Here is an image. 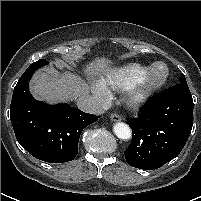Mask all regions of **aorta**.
<instances>
[{"instance_id": "aorta-1", "label": "aorta", "mask_w": 201, "mask_h": 201, "mask_svg": "<svg viewBox=\"0 0 201 201\" xmlns=\"http://www.w3.org/2000/svg\"><path fill=\"white\" fill-rule=\"evenodd\" d=\"M113 130L115 135L122 140H128L132 136L130 127L123 122L115 123L113 126Z\"/></svg>"}]
</instances>
